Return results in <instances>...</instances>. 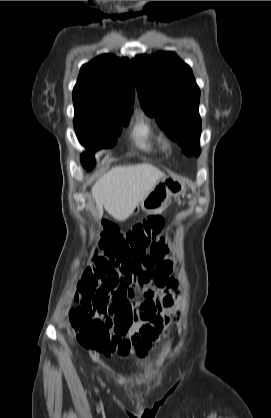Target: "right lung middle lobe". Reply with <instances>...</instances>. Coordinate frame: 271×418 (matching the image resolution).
<instances>
[{
  "instance_id": "right-lung-middle-lobe-1",
  "label": "right lung middle lobe",
  "mask_w": 271,
  "mask_h": 418,
  "mask_svg": "<svg viewBox=\"0 0 271 418\" xmlns=\"http://www.w3.org/2000/svg\"><path fill=\"white\" fill-rule=\"evenodd\" d=\"M131 114H103L75 108L74 127L80 143L90 152L82 155L86 168L95 165L93 152L116 144L122 126H127Z\"/></svg>"
}]
</instances>
